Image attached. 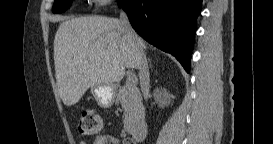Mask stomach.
<instances>
[{"mask_svg":"<svg viewBox=\"0 0 273 144\" xmlns=\"http://www.w3.org/2000/svg\"><path fill=\"white\" fill-rule=\"evenodd\" d=\"M91 93L102 108H110L115 101L117 89L111 85H96L91 88Z\"/></svg>","mask_w":273,"mask_h":144,"instance_id":"0dacf381","label":"stomach"}]
</instances>
